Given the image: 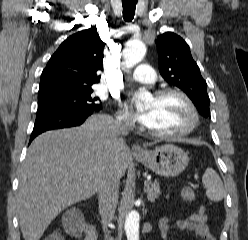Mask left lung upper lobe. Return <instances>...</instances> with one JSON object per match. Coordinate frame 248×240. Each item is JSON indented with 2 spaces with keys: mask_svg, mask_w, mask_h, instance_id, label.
<instances>
[{
  "mask_svg": "<svg viewBox=\"0 0 248 240\" xmlns=\"http://www.w3.org/2000/svg\"><path fill=\"white\" fill-rule=\"evenodd\" d=\"M156 45L162 77L182 89L202 116L210 117L207 84L192 58L188 44L180 36L166 32L157 38Z\"/></svg>",
  "mask_w": 248,
  "mask_h": 240,
  "instance_id": "5c2ea615",
  "label": "left lung upper lobe"
}]
</instances>
